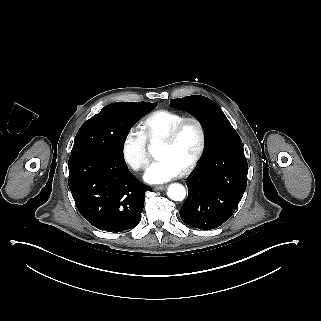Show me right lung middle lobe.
Returning a JSON list of instances; mask_svg holds the SVG:
<instances>
[{
    "instance_id": "dd1d6c3e",
    "label": "right lung middle lobe",
    "mask_w": 321,
    "mask_h": 321,
    "mask_svg": "<svg viewBox=\"0 0 321 321\" xmlns=\"http://www.w3.org/2000/svg\"><path fill=\"white\" fill-rule=\"evenodd\" d=\"M156 105L149 102H116L105 106L78 130L71 155L94 152L124 160L123 147L128 131H125V125L121 126L120 114L124 111L135 113L137 121Z\"/></svg>"
}]
</instances>
